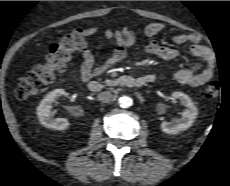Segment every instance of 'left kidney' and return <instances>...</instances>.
<instances>
[{
    "instance_id": "obj_1",
    "label": "left kidney",
    "mask_w": 230,
    "mask_h": 186,
    "mask_svg": "<svg viewBox=\"0 0 230 186\" xmlns=\"http://www.w3.org/2000/svg\"><path fill=\"white\" fill-rule=\"evenodd\" d=\"M172 96L179 99L181 104L186 107V110L182 113L180 119L173 122H162L161 129L167 134H176L182 130H186L193 124L198 115V110L188 95L175 91L172 93Z\"/></svg>"
}]
</instances>
